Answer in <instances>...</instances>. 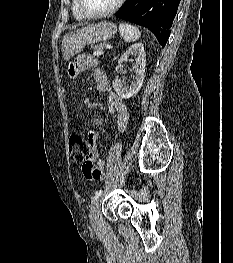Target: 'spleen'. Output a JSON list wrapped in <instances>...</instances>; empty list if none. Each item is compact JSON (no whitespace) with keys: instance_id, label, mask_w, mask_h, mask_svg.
Here are the masks:
<instances>
[{"instance_id":"3e777b00","label":"spleen","mask_w":233,"mask_h":263,"mask_svg":"<svg viewBox=\"0 0 233 263\" xmlns=\"http://www.w3.org/2000/svg\"><path fill=\"white\" fill-rule=\"evenodd\" d=\"M119 32L123 40L128 43L137 41L141 36L137 27L127 23H121L119 25Z\"/></svg>"}]
</instances>
